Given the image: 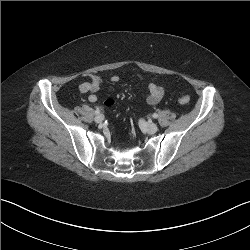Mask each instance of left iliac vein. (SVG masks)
Masks as SVG:
<instances>
[{"label":"left iliac vein","instance_id":"1","mask_svg":"<svg viewBox=\"0 0 250 250\" xmlns=\"http://www.w3.org/2000/svg\"><path fill=\"white\" fill-rule=\"evenodd\" d=\"M140 124L149 134H154L158 131V126L155 123L141 121Z\"/></svg>","mask_w":250,"mask_h":250}]
</instances>
